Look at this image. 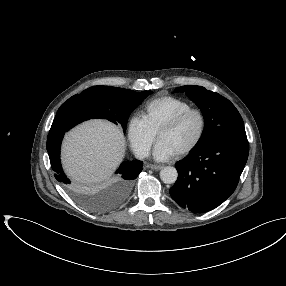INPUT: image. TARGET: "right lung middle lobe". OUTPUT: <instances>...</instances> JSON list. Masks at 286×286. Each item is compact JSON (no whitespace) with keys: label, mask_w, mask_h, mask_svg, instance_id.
Listing matches in <instances>:
<instances>
[{"label":"right lung middle lobe","mask_w":286,"mask_h":286,"mask_svg":"<svg viewBox=\"0 0 286 286\" xmlns=\"http://www.w3.org/2000/svg\"><path fill=\"white\" fill-rule=\"evenodd\" d=\"M150 94L152 91L137 93L118 87L93 86L64 102L53 122L60 128L69 130L85 120L107 119L115 124L119 122L125 132L129 115ZM131 186L125 195H121L122 201L128 196ZM83 203L93 210L104 209L96 202L83 201Z\"/></svg>","instance_id":"dd1d6c3e"}]
</instances>
